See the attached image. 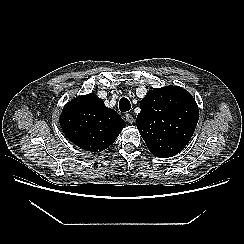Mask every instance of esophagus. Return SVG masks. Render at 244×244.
Here are the masks:
<instances>
[{"label": "esophagus", "mask_w": 244, "mask_h": 244, "mask_svg": "<svg viewBox=\"0 0 244 244\" xmlns=\"http://www.w3.org/2000/svg\"><path fill=\"white\" fill-rule=\"evenodd\" d=\"M125 118H126V121H127L128 123H130V124H132V123L134 122V118H133V116H132L131 114H129V113H127V114L125 115Z\"/></svg>", "instance_id": "34e87169"}]
</instances>
